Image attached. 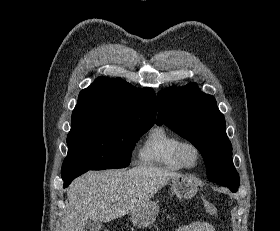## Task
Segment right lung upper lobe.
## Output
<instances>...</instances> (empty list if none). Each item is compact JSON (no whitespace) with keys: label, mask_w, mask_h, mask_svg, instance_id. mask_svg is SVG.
<instances>
[{"label":"right lung upper lobe","mask_w":280,"mask_h":231,"mask_svg":"<svg viewBox=\"0 0 280 231\" xmlns=\"http://www.w3.org/2000/svg\"><path fill=\"white\" fill-rule=\"evenodd\" d=\"M154 96L150 88L137 89L119 78L99 77L80 92L72 119L112 118L153 125Z\"/></svg>","instance_id":"cb5924a9"}]
</instances>
